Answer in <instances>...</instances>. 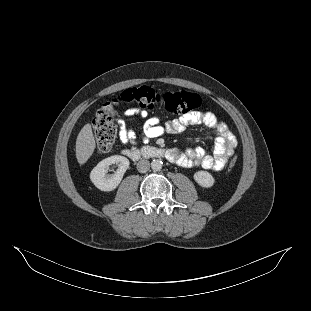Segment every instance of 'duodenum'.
Returning a JSON list of instances; mask_svg holds the SVG:
<instances>
[{
    "mask_svg": "<svg viewBox=\"0 0 311 311\" xmlns=\"http://www.w3.org/2000/svg\"><path fill=\"white\" fill-rule=\"evenodd\" d=\"M123 154L133 161H138L141 159H167L172 160L173 155L171 150L159 147H144L141 149H125Z\"/></svg>",
    "mask_w": 311,
    "mask_h": 311,
    "instance_id": "obj_1",
    "label": "duodenum"
}]
</instances>
